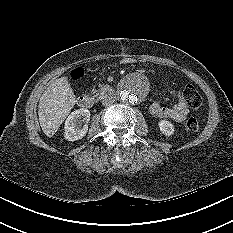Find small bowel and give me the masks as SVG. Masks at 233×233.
<instances>
[{
	"label": "small bowel",
	"mask_w": 233,
	"mask_h": 233,
	"mask_svg": "<svg viewBox=\"0 0 233 233\" xmlns=\"http://www.w3.org/2000/svg\"><path fill=\"white\" fill-rule=\"evenodd\" d=\"M177 102L171 106H162L158 102H154L150 106V113L158 119H170L175 122H182L189 113V108L185 102L183 95L177 94Z\"/></svg>",
	"instance_id": "small-bowel-1"
}]
</instances>
